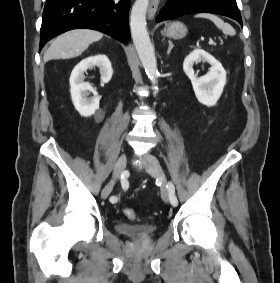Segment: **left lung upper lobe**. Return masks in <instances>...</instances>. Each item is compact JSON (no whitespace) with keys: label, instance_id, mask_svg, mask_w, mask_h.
Returning <instances> with one entry per match:
<instances>
[{"label":"left lung upper lobe","instance_id":"obj_1","mask_svg":"<svg viewBox=\"0 0 280 283\" xmlns=\"http://www.w3.org/2000/svg\"><path fill=\"white\" fill-rule=\"evenodd\" d=\"M223 1L229 2V3H231L232 5L237 6L236 0H223Z\"/></svg>","mask_w":280,"mask_h":283}]
</instances>
